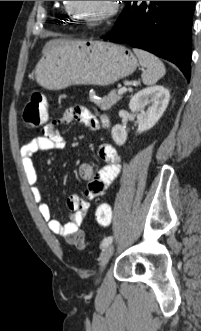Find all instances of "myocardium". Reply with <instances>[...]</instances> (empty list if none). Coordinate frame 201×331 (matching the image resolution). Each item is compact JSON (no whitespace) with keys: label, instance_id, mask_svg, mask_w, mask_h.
<instances>
[{"label":"myocardium","instance_id":"obj_1","mask_svg":"<svg viewBox=\"0 0 201 331\" xmlns=\"http://www.w3.org/2000/svg\"><path fill=\"white\" fill-rule=\"evenodd\" d=\"M66 8L67 10H71L74 12V16L78 18L79 20L84 21L85 23L89 25L93 24H101L109 19H111L113 16L117 14L119 11V2L118 1H109V7L107 10L101 14H99L96 17L93 18H85L84 16L78 14L75 9L73 8L72 1H66Z\"/></svg>","mask_w":201,"mask_h":331}]
</instances>
